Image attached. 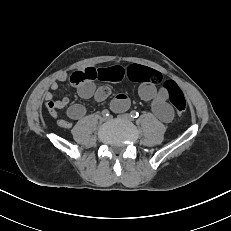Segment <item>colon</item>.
Listing matches in <instances>:
<instances>
[{
    "instance_id": "5ec220e1",
    "label": "colon",
    "mask_w": 231,
    "mask_h": 231,
    "mask_svg": "<svg viewBox=\"0 0 231 231\" xmlns=\"http://www.w3.org/2000/svg\"><path fill=\"white\" fill-rule=\"evenodd\" d=\"M135 74H136V80L139 82L147 81L152 84L162 83V86L167 91L170 102L175 108L177 114L181 115L186 111L187 108L186 99L184 97L183 92L174 81L167 80L162 82V75L158 71L142 66H138L136 68ZM83 80L84 77L79 72L73 73L70 77V82L74 85H79L80 83L83 82Z\"/></svg>"
}]
</instances>
